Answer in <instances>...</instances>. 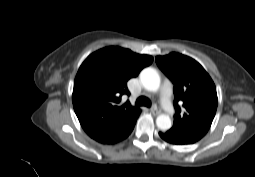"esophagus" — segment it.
Segmentation results:
<instances>
[{
    "label": "esophagus",
    "instance_id": "1",
    "mask_svg": "<svg viewBox=\"0 0 255 177\" xmlns=\"http://www.w3.org/2000/svg\"><path fill=\"white\" fill-rule=\"evenodd\" d=\"M150 111H151V113H152L153 115H158V114L161 113L160 108L157 107V106H153V107L150 109Z\"/></svg>",
    "mask_w": 255,
    "mask_h": 177
}]
</instances>
